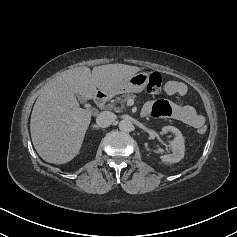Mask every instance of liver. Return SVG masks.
<instances>
[{"mask_svg": "<svg viewBox=\"0 0 237 237\" xmlns=\"http://www.w3.org/2000/svg\"><path fill=\"white\" fill-rule=\"evenodd\" d=\"M140 71L125 64L77 67L47 83L31 114L32 143L46 162L65 164L79 154L92 113L79 106L77 95L93 99L97 89L107 91Z\"/></svg>", "mask_w": 237, "mask_h": 237, "instance_id": "liver-1", "label": "liver"}]
</instances>
